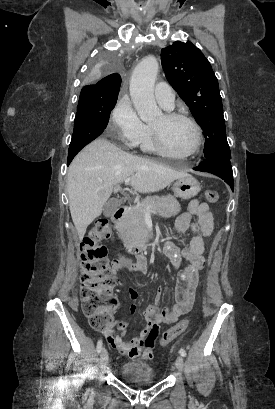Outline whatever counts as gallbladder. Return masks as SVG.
Masks as SVG:
<instances>
[{
	"label": "gallbladder",
	"mask_w": 275,
	"mask_h": 409,
	"mask_svg": "<svg viewBox=\"0 0 275 409\" xmlns=\"http://www.w3.org/2000/svg\"><path fill=\"white\" fill-rule=\"evenodd\" d=\"M121 202L118 200V198H110L108 202H105V205L103 207V215L105 217H111V215H114L116 209L120 207Z\"/></svg>",
	"instance_id": "bac80fb5"
}]
</instances>
